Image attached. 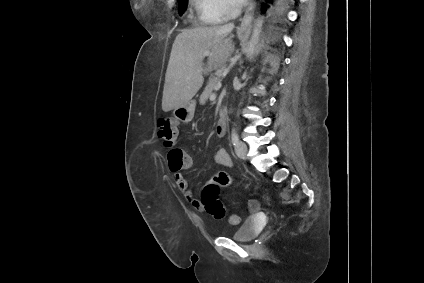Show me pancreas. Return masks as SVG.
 Here are the masks:
<instances>
[{
    "label": "pancreas",
    "mask_w": 424,
    "mask_h": 283,
    "mask_svg": "<svg viewBox=\"0 0 424 283\" xmlns=\"http://www.w3.org/2000/svg\"><path fill=\"white\" fill-rule=\"evenodd\" d=\"M221 82V80L218 77H212L209 79V82L207 84V86L205 87L204 92L202 93L200 100L201 102H205L210 95L212 94L213 90H214V86L218 83Z\"/></svg>",
    "instance_id": "obj_1"
}]
</instances>
